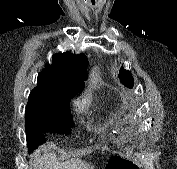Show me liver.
Returning <instances> with one entry per match:
<instances>
[{
  "label": "liver",
  "mask_w": 177,
  "mask_h": 169,
  "mask_svg": "<svg viewBox=\"0 0 177 169\" xmlns=\"http://www.w3.org/2000/svg\"><path fill=\"white\" fill-rule=\"evenodd\" d=\"M55 149L56 145L52 143H47L36 149L31 156L34 160L33 169H93L87 162L79 159L58 162Z\"/></svg>",
  "instance_id": "6515ba94"
}]
</instances>
